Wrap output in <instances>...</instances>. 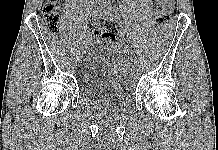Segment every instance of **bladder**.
Segmentation results:
<instances>
[{"label": "bladder", "instance_id": "obj_1", "mask_svg": "<svg viewBox=\"0 0 218 150\" xmlns=\"http://www.w3.org/2000/svg\"><path fill=\"white\" fill-rule=\"evenodd\" d=\"M120 67L115 63L112 48L102 42L89 45L79 71V86L89 98L118 106L127 102V91Z\"/></svg>", "mask_w": 218, "mask_h": 150}]
</instances>
